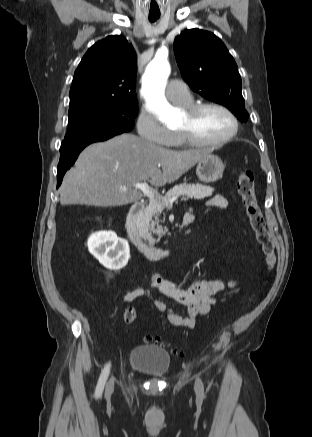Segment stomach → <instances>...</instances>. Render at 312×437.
<instances>
[{
    "mask_svg": "<svg viewBox=\"0 0 312 437\" xmlns=\"http://www.w3.org/2000/svg\"><path fill=\"white\" fill-rule=\"evenodd\" d=\"M224 168L225 166L218 156L207 154L197 162L196 175L202 182H215L222 178Z\"/></svg>",
    "mask_w": 312,
    "mask_h": 437,
    "instance_id": "0dacf381",
    "label": "stomach"
}]
</instances>
